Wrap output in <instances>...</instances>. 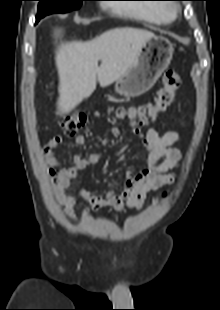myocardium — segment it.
<instances>
[{"label": "myocardium", "mask_w": 220, "mask_h": 310, "mask_svg": "<svg viewBox=\"0 0 220 310\" xmlns=\"http://www.w3.org/2000/svg\"><path fill=\"white\" fill-rule=\"evenodd\" d=\"M168 13L171 17H173L174 15H176L178 13V9L176 7H173V6H169L168 7Z\"/></svg>", "instance_id": "f54148a6"}]
</instances>
